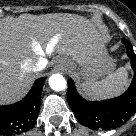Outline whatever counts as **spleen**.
Masks as SVG:
<instances>
[{
  "instance_id": "1",
  "label": "spleen",
  "mask_w": 136,
  "mask_h": 136,
  "mask_svg": "<svg viewBox=\"0 0 136 136\" xmlns=\"http://www.w3.org/2000/svg\"><path fill=\"white\" fill-rule=\"evenodd\" d=\"M125 81V75L121 71H116L109 74L101 81H87L84 86V91L88 96L101 97L102 95L116 94Z\"/></svg>"
}]
</instances>
